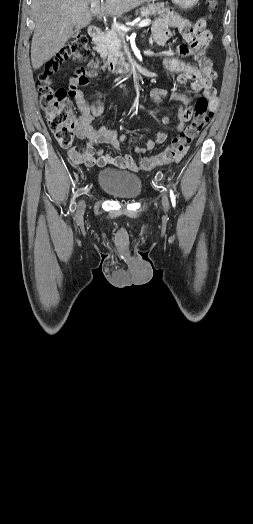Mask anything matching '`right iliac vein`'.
<instances>
[{
    "mask_svg": "<svg viewBox=\"0 0 253 524\" xmlns=\"http://www.w3.org/2000/svg\"><path fill=\"white\" fill-rule=\"evenodd\" d=\"M85 210V201L84 199H80L77 205V215L81 216L84 213Z\"/></svg>",
    "mask_w": 253,
    "mask_h": 524,
    "instance_id": "63e3f726",
    "label": "right iliac vein"
}]
</instances>
